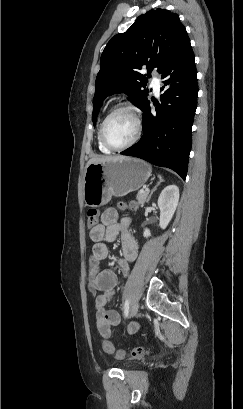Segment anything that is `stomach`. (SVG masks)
Returning <instances> with one entry per match:
<instances>
[{"label":"stomach","instance_id":"0dacf381","mask_svg":"<svg viewBox=\"0 0 243 409\" xmlns=\"http://www.w3.org/2000/svg\"><path fill=\"white\" fill-rule=\"evenodd\" d=\"M152 172L143 160L121 157L87 165L83 178V200L86 206L100 207L113 196L123 197L141 188Z\"/></svg>","mask_w":243,"mask_h":409}]
</instances>
